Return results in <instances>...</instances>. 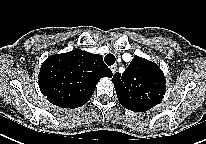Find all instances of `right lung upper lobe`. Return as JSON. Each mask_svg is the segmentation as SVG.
Wrapping results in <instances>:
<instances>
[{"label": "right lung upper lobe", "instance_id": "1", "mask_svg": "<svg viewBox=\"0 0 206 144\" xmlns=\"http://www.w3.org/2000/svg\"><path fill=\"white\" fill-rule=\"evenodd\" d=\"M112 75L101 55L76 49L48 57L38 82L52 104L73 109L88 102L102 77Z\"/></svg>", "mask_w": 206, "mask_h": 144}]
</instances>
